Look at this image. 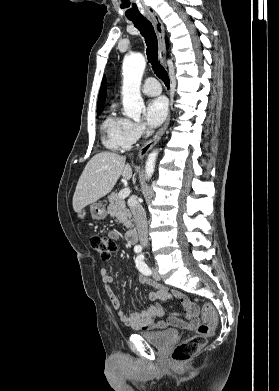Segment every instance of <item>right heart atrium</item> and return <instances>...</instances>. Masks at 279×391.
I'll use <instances>...</instances> for the list:
<instances>
[{"label": "right heart atrium", "mask_w": 279, "mask_h": 391, "mask_svg": "<svg viewBox=\"0 0 279 391\" xmlns=\"http://www.w3.org/2000/svg\"><path fill=\"white\" fill-rule=\"evenodd\" d=\"M146 132L145 126L140 122L127 120L125 127V136L130 144L140 140Z\"/></svg>", "instance_id": "right-heart-atrium-1"}]
</instances>
